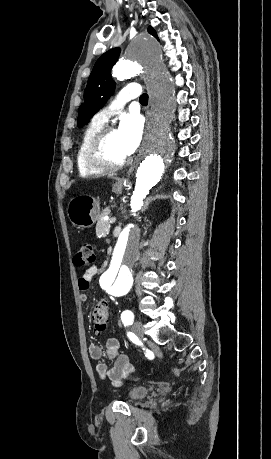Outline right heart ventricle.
Listing matches in <instances>:
<instances>
[{
  "label": "right heart ventricle",
  "instance_id": "e07e8e85",
  "mask_svg": "<svg viewBox=\"0 0 271 459\" xmlns=\"http://www.w3.org/2000/svg\"><path fill=\"white\" fill-rule=\"evenodd\" d=\"M103 127L104 124L99 123L95 118H93L81 133L76 149L75 162L77 172L82 178H91L106 171L104 168H97L89 165L84 155L85 147L89 139Z\"/></svg>",
  "mask_w": 271,
  "mask_h": 459
}]
</instances>
